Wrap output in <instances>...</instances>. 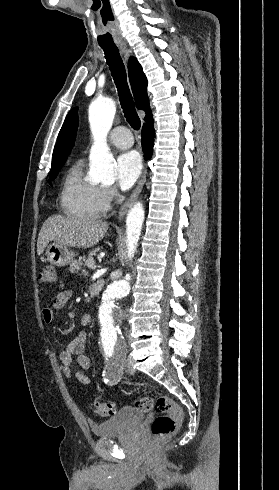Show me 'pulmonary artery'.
Segmentation results:
<instances>
[{
  "label": "pulmonary artery",
  "mask_w": 279,
  "mask_h": 490,
  "mask_svg": "<svg viewBox=\"0 0 279 490\" xmlns=\"http://www.w3.org/2000/svg\"><path fill=\"white\" fill-rule=\"evenodd\" d=\"M129 130L126 127L120 126L113 130L111 142L119 149H128L134 146V137H128Z\"/></svg>",
  "instance_id": "obj_1"
}]
</instances>
